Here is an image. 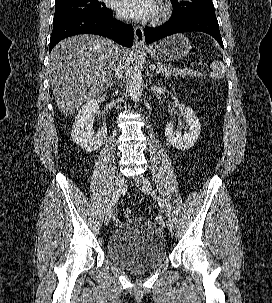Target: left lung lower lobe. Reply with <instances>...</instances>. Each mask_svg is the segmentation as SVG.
I'll return each instance as SVG.
<instances>
[{
  "mask_svg": "<svg viewBox=\"0 0 272 303\" xmlns=\"http://www.w3.org/2000/svg\"><path fill=\"white\" fill-rule=\"evenodd\" d=\"M189 31H201L214 37L223 48L219 25L215 14L186 15L171 18L167 23L156 28L145 27L144 35L147 43L157 41L166 36Z\"/></svg>",
  "mask_w": 272,
  "mask_h": 303,
  "instance_id": "1",
  "label": "left lung lower lobe"
}]
</instances>
